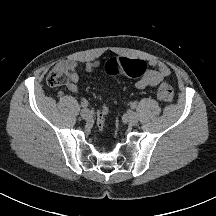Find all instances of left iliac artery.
Returning <instances> with one entry per match:
<instances>
[{
	"instance_id": "44dca946",
	"label": "left iliac artery",
	"mask_w": 216,
	"mask_h": 216,
	"mask_svg": "<svg viewBox=\"0 0 216 216\" xmlns=\"http://www.w3.org/2000/svg\"><path fill=\"white\" fill-rule=\"evenodd\" d=\"M131 107H132L133 109H135V108L137 107V103H136V102H133V103L131 104Z\"/></svg>"
}]
</instances>
